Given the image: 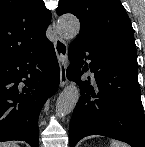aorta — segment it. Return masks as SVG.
I'll return each instance as SVG.
<instances>
[{
	"label": "aorta",
	"mask_w": 145,
	"mask_h": 147,
	"mask_svg": "<svg viewBox=\"0 0 145 147\" xmlns=\"http://www.w3.org/2000/svg\"><path fill=\"white\" fill-rule=\"evenodd\" d=\"M57 28L64 39H74L80 31L79 20L73 15H63L58 19ZM80 97L79 88L75 83L66 86L56 102V113L65 116L71 113Z\"/></svg>",
	"instance_id": "762f6f07"
}]
</instances>
